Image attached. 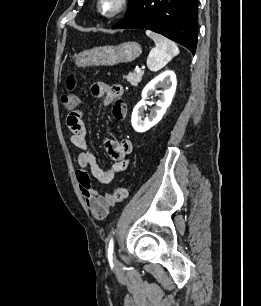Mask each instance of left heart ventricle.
I'll return each instance as SVG.
<instances>
[{"label": "left heart ventricle", "mask_w": 261, "mask_h": 306, "mask_svg": "<svg viewBox=\"0 0 261 306\" xmlns=\"http://www.w3.org/2000/svg\"><path fill=\"white\" fill-rule=\"evenodd\" d=\"M102 6L105 11H111L115 7V0H104Z\"/></svg>", "instance_id": "obj_1"}]
</instances>
